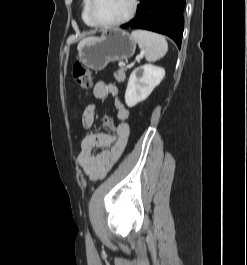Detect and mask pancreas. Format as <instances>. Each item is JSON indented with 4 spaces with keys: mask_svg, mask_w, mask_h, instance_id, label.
Wrapping results in <instances>:
<instances>
[{
    "mask_svg": "<svg viewBox=\"0 0 247 265\" xmlns=\"http://www.w3.org/2000/svg\"><path fill=\"white\" fill-rule=\"evenodd\" d=\"M115 79L121 83L125 80V69L121 68L114 74Z\"/></svg>",
    "mask_w": 247,
    "mask_h": 265,
    "instance_id": "pancreas-1",
    "label": "pancreas"
}]
</instances>
